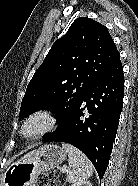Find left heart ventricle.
<instances>
[{"instance_id": "b2bd125f", "label": "left heart ventricle", "mask_w": 138, "mask_h": 186, "mask_svg": "<svg viewBox=\"0 0 138 186\" xmlns=\"http://www.w3.org/2000/svg\"><path fill=\"white\" fill-rule=\"evenodd\" d=\"M43 125L41 120H36L32 122L25 130L26 134H33L38 131Z\"/></svg>"}]
</instances>
